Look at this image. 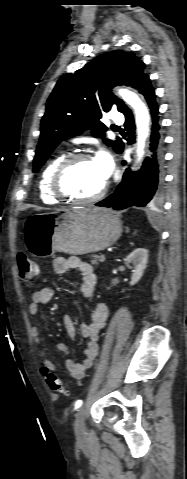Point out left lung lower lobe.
Returning <instances> with one entry per match:
<instances>
[{"label": "left lung lower lobe", "instance_id": "0a47b994", "mask_svg": "<svg viewBox=\"0 0 187 479\" xmlns=\"http://www.w3.org/2000/svg\"><path fill=\"white\" fill-rule=\"evenodd\" d=\"M139 92L145 97L152 117L151 132V157L146 158L142 168L137 173H132L127 168L121 183L116 191L103 201L96 204L100 207L122 210L132 206L144 207L156 205L163 195V140L160 135L159 111L156 96L151 86L149 77L145 78L139 87ZM125 115V129L129 132L127 141L134 142L135 124L131 110L123 112ZM123 151V143L117 153ZM126 163L123 162V165Z\"/></svg>", "mask_w": 187, "mask_h": 479}]
</instances>
